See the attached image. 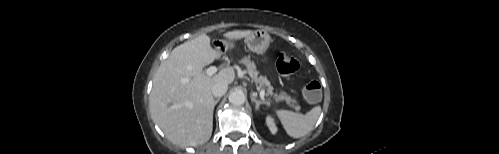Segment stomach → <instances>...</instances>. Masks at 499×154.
Wrapping results in <instances>:
<instances>
[{
	"instance_id": "obj_1",
	"label": "stomach",
	"mask_w": 499,
	"mask_h": 154,
	"mask_svg": "<svg viewBox=\"0 0 499 154\" xmlns=\"http://www.w3.org/2000/svg\"><path fill=\"white\" fill-rule=\"evenodd\" d=\"M270 35L264 30L252 31L250 35L245 38L248 48L260 55H264L270 45Z\"/></svg>"
}]
</instances>
